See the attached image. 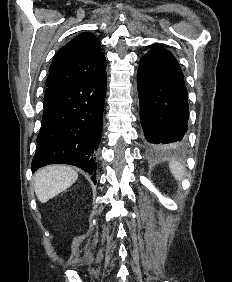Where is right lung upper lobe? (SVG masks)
Returning a JSON list of instances; mask_svg holds the SVG:
<instances>
[{
	"instance_id": "right-lung-upper-lobe-1",
	"label": "right lung upper lobe",
	"mask_w": 232,
	"mask_h": 282,
	"mask_svg": "<svg viewBox=\"0 0 232 282\" xmlns=\"http://www.w3.org/2000/svg\"><path fill=\"white\" fill-rule=\"evenodd\" d=\"M106 69L101 44L91 33H82L56 54L46 80L44 106L72 85L95 77Z\"/></svg>"
}]
</instances>
